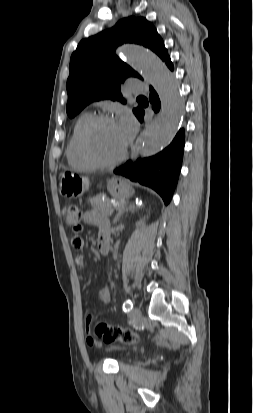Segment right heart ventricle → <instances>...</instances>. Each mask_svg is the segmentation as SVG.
I'll use <instances>...</instances> for the list:
<instances>
[{"label":"right heart ventricle","instance_id":"1","mask_svg":"<svg viewBox=\"0 0 253 413\" xmlns=\"http://www.w3.org/2000/svg\"><path fill=\"white\" fill-rule=\"evenodd\" d=\"M89 113L81 114L75 121L71 135L66 146V157L68 163L76 168L93 169L95 168L83 155L80 148V132L84 124L90 119Z\"/></svg>","mask_w":253,"mask_h":413}]
</instances>
